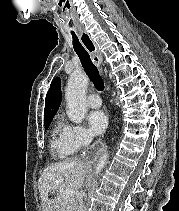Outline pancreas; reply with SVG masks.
Here are the masks:
<instances>
[{
    "mask_svg": "<svg viewBox=\"0 0 179 211\" xmlns=\"http://www.w3.org/2000/svg\"><path fill=\"white\" fill-rule=\"evenodd\" d=\"M56 203L58 204L59 211H78V200L74 197L65 199L60 195Z\"/></svg>",
    "mask_w": 179,
    "mask_h": 211,
    "instance_id": "1",
    "label": "pancreas"
}]
</instances>
